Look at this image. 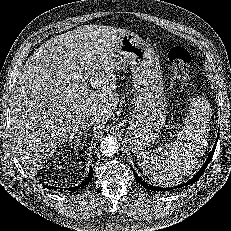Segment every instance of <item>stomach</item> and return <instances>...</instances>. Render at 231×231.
Instances as JSON below:
<instances>
[{
  "label": "stomach",
  "mask_w": 231,
  "mask_h": 231,
  "mask_svg": "<svg viewBox=\"0 0 231 231\" xmlns=\"http://www.w3.org/2000/svg\"><path fill=\"white\" fill-rule=\"evenodd\" d=\"M115 70L129 66L133 72V114L127 129L134 152L151 145L166 122L167 105L163 93L162 70L152 47L128 32L115 44L112 53Z\"/></svg>",
  "instance_id": "stomach-1"
}]
</instances>
